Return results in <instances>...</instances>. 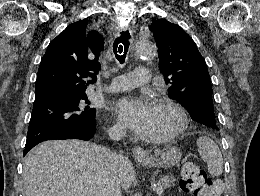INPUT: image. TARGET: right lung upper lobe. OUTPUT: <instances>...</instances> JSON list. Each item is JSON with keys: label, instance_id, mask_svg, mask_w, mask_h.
<instances>
[{"label": "right lung upper lobe", "instance_id": "cb5924a9", "mask_svg": "<svg viewBox=\"0 0 260 196\" xmlns=\"http://www.w3.org/2000/svg\"><path fill=\"white\" fill-rule=\"evenodd\" d=\"M88 20L70 24L49 44L42 58L35 85V103L52 98L85 93L93 84L104 49V38L97 31H88Z\"/></svg>", "mask_w": 260, "mask_h": 196}]
</instances>
